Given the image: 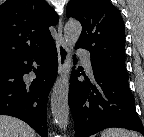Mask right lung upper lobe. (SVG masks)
I'll return each instance as SVG.
<instances>
[{
  "label": "right lung upper lobe",
  "instance_id": "1",
  "mask_svg": "<svg viewBox=\"0 0 144 137\" xmlns=\"http://www.w3.org/2000/svg\"><path fill=\"white\" fill-rule=\"evenodd\" d=\"M58 15L44 0H6L0 6V69L48 44Z\"/></svg>",
  "mask_w": 144,
  "mask_h": 137
}]
</instances>
